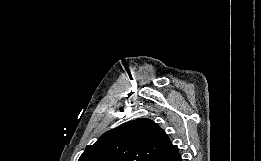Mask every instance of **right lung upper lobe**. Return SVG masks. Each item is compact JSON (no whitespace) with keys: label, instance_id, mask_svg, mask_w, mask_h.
<instances>
[{"label":"right lung upper lobe","instance_id":"1","mask_svg":"<svg viewBox=\"0 0 261 161\" xmlns=\"http://www.w3.org/2000/svg\"><path fill=\"white\" fill-rule=\"evenodd\" d=\"M178 152L150 119L126 122L88 145L78 161H161Z\"/></svg>","mask_w":261,"mask_h":161}]
</instances>
